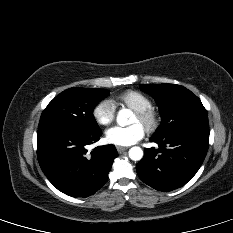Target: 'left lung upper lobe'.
Segmentation results:
<instances>
[{
	"mask_svg": "<svg viewBox=\"0 0 233 233\" xmlns=\"http://www.w3.org/2000/svg\"><path fill=\"white\" fill-rule=\"evenodd\" d=\"M141 90L154 97L162 123L153 137L189 128H209L207 111L200 99L190 90L175 84H144Z\"/></svg>",
	"mask_w": 233,
	"mask_h": 233,
	"instance_id": "1",
	"label": "left lung upper lobe"
}]
</instances>
